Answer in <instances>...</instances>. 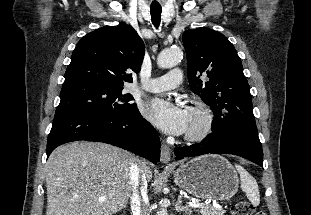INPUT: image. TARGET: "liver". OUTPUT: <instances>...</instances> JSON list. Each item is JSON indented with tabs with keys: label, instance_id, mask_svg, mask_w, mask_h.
<instances>
[{
	"label": "liver",
	"instance_id": "1",
	"mask_svg": "<svg viewBox=\"0 0 311 215\" xmlns=\"http://www.w3.org/2000/svg\"><path fill=\"white\" fill-rule=\"evenodd\" d=\"M137 158L97 142H72L56 148L46 163V215H112L131 196L130 167ZM146 180L152 171L139 162ZM104 196V201L99 198Z\"/></svg>",
	"mask_w": 311,
	"mask_h": 215
}]
</instances>
